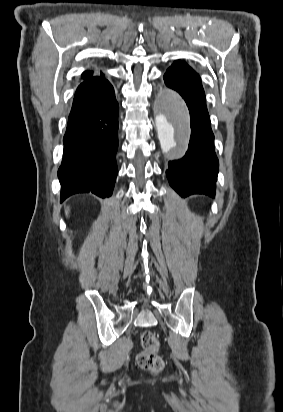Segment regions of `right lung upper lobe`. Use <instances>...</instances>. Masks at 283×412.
Returning a JSON list of instances; mask_svg holds the SVG:
<instances>
[{"label": "right lung upper lobe", "mask_w": 283, "mask_h": 412, "mask_svg": "<svg viewBox=\"0 0 283 412\" xmlns=\"http://www.w3.org/2000/svg\"><path fill=\"white\" fill-rule=\"evenodd\" d=\"M92 74H93V72H91V71H86V72H84V73L82 74V78H89V77L92 76Z\"/></svg>", "instance_id": "cb5924a9"}]
</instances>
